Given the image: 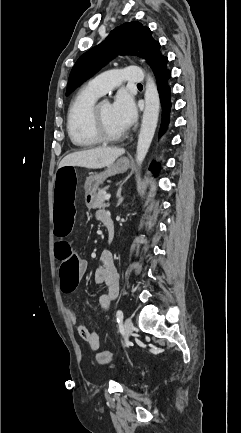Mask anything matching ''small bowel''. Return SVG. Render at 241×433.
<instances>
[{
  "label": "small bowel",
  "mask_w": 241,
  "mask_h": 433,
  "mask_svg": "<svg viewBox=\"0 0 241 433\" xmlns=\"http://www.w3.org/2000/svg\"><path fill=\"white\" fill-rule=\"evenodd\" d=\"M106 215L109 214L105 210L99 209L96 212V219L102 222L103 217ZM80 265L82 270L86 269V262L84 260L80 261ZM94 281L97 284L105 285L107 288V293L99 296L98 303L101 309L108 310L119 292V274L111 254L105 252L101 255L100 264L94 273ZM67 315L70 322L77 327L79 336L87 342L90 349L93 351L98 350L100 343L97 332L90 331L86 326L81 324L77 314L71 308L67 310Z\"/></svg>",
  "instance_id": "1"
}]
</instances>
